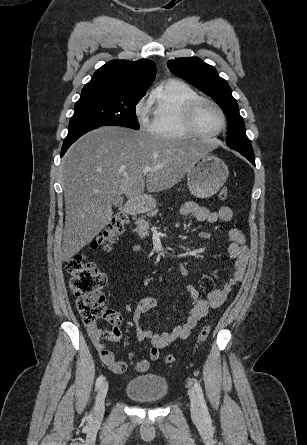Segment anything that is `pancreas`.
Masks as SVG:
<instances>
[{"instance_id": "obj_1", "label": "pancreas", "mask_w": 307, "mask_h": 445, "mask_svg": "<svg viewBox=\"0 0 307 445\" xmlns=\"http://www.w3.org/2000/svg\"><path fill=\"white\" fill-rule=\"evenodd\" d=\"M158 208H155V210H147V216H155L157 214ZM135 225H137V235L141 237V239H144V237H148V231L149 229V223L148 220H144V218H137Z\"/></svg>"}]
</instances>
